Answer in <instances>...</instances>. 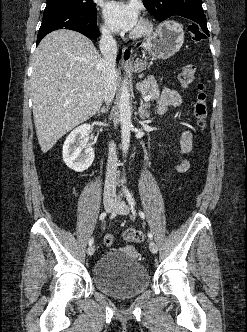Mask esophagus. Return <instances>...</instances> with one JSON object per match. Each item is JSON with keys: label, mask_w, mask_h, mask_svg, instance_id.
<instances>
[{"label": "esophagus", "mask_w": 247, "mask_h": 332, "mask_svg": "<svg viewBox=\"0 0 247 332\" xmlns=\"http://www.w3.org/2000/svg\"><path fill=\"white\" fill-rule=\"evenodd\" d=\"M132 56H133L132 48L124 46V48L122 49V57H121V63L124 67L131 65Z\"/></svg>", "instance_id": "34e87169"}]
</instances>
